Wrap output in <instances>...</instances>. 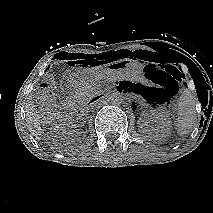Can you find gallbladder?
I'll return each instance as SVG.
<instances>
[{"label": "gallbladder", "mask_w": 213, "mask_h": 213, "mask_svg": "<svg viewBox=\"0 0 213 213\" xmlns=\"http://www.w3.org/2000/svg\"><path fill=\"white\" fill-rule=\"evenodd\" d=\"M46 82L50 85V87H56L57 82L54 77L47 78Z\"/></svg>", "instance_id": "1"}]
</instances>
